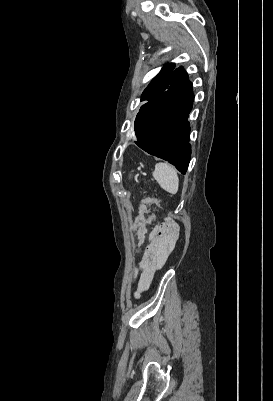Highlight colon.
<instances>
[{
  "label": "colon",
  "mask_w": 273,
  "mask_h": 401,
  "mask_svg": "<svg viewBox=\"0 0 273 401\" xmlns=\"http://www.w3.org/2000/svg\"><path fill=\"white\" fill-rule=\"evenodd\" d=\"M147 203L151 207H155L156 205H158V201L153 198H148ZM176 230H177L176 224H174L171 220H167V221L159 224L154 229L153 237L155 239L161 237L162 241H175L176 240V233H175Z\"/></svg>",
  "instance_id": "obj_1"
}]
</instances>
